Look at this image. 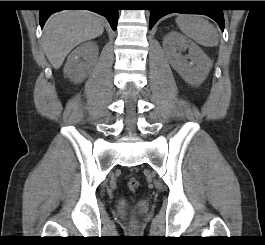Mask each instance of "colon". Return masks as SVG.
Listing matches in <instances>:
<instances>
[{"label": "colon", "instance_id": "obj_1", "mask_svg": "<svg viewBox=\"0 0 265 245\" xmlns=\"http://www.w3.org/2000/svg\"><path fill=\"white\" fill-rule=\"evenodd\" d=\"M128 187L130 190L135 191L139 187V182L136 178H131L128 182Z\"/></svg>", "mask_w": 265, "mask_h": 245}]
</instances>
